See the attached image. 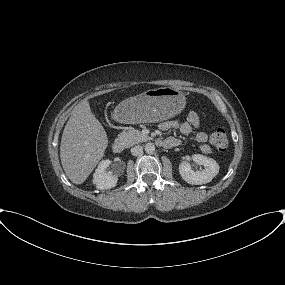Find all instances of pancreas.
Here are the masks:
<instances>
[{"label": "pancreas", "mask_w": 285, "mask_h": 285, "mask_svg": "<svg viewBox=\"0 0 285 285\" xmlns=\"http://www.w3.org/2000/svg\"><path fill=\"white\" fill-rule=\"evenodd\" d=\"M119 138L124 142L125 146L130 147L134 144L144 142L149 139L148 136L142 134L139 130L133 127H127L119 134Z\"/></svg>", "instance_id": "pancreas-1"}]
</instances>
